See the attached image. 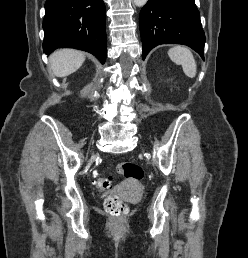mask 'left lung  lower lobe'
Wrapping results in <instances>:
<instances>
[{"mask_svg":"<svg viewBox=\"0 0 248 258\" xmlns=\"http://www.w3.org/2000/svg\"><path fill=\"white\" fill-rule=\"evenodd\" d=\"M142 57L161 44H183L204 60L205 34L194 0H148L139 15Z\"/></svg>","mask_w":248,"mask_h":258,"instance_id":"1","label":"left lung lower lobe"}]
</instances>
